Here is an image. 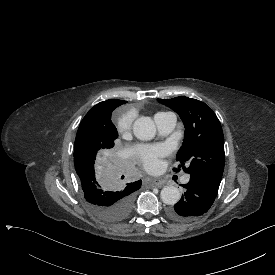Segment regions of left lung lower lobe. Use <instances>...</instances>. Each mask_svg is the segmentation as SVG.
<instances>
[{
  "mask_svg": "<svg viewBox=\"0 0 275 275\" xmlns=\"http://www.w3.org/2000/svg\"><path fill=\"white\" fill-rule=\"evenodd\" d=\"M221 180L207 175H190V181L181 185L184 195L167 210L174 221L184 222L206 213L213 204Z\"/></svg>",
  "mask_w": 275,
  "mask_h": 275,
  "instance_id": "0a47b994",
  "label": "left lung lower lobe"
}]
</instances>
